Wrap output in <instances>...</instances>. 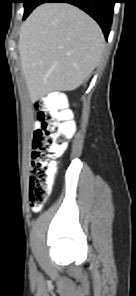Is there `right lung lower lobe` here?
Masks as SVG:
<instances>
[{
	"instance_id": "1",
	"label": "right lung lower lobe",
	"mask_w": 136,
	"mask_h": 296,
	"mask_svg": "<svg viewBox=\"0 0 136 296\" xmlns=\"http://www.w3.org/2000/svg\"><path fill=\"white\" fill-rule=\"evenodd\" d=\"M42 3H70L79 7L96 20L108 38L116 0H38L36 5Z\"/></svg>"
}]
</instances>
